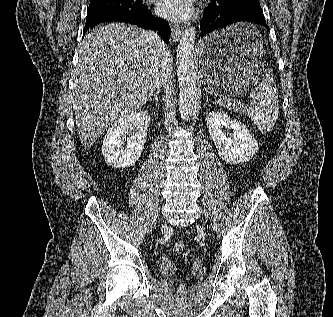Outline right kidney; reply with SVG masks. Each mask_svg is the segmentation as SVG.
<instances>
[{"instance_id":"right-kidney-1","label":"right kidney","mask_w":333,"mask_h":317,"mask_svg":"<svg viewBox=\"0 0 333 317\" xmlns=\"http://www.w3.org/2000/svg\"><path fill=\"white\" fill-rule=\"evenodd\" d=\"M150 115L147 111L131 113L121 117L107 131L102 154L105 162L114 168H126L134 165L142 154L147 138ZM135 128L132 136H124ZM127 143V147L124 145Z\"/></svg>"}]
</instances>
